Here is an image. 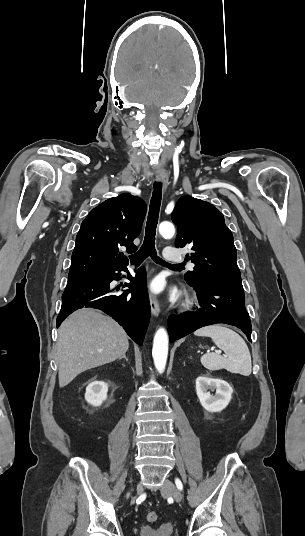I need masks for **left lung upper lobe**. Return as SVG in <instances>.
<instances>
[{
    "label": "left lung upper lobe",
    "instance_id": "left-lung-upper-lobe-1",
    "mask_svg": "<svg viewBox=\"0 0 305 536\" xmlns=\"http://www.w3.org/2000/svg\"><path fill=\"white\" fill-rule=\"evenodd\" d=\"M171 219L178 226L175 246H192L186 257L195 264L194 271L184 275L190 285H242L233 235L218 209L186 195L178 200Z\"/></svg>",
    "mask_w": 305,
    "mask_h": 536
}]
</instances>
